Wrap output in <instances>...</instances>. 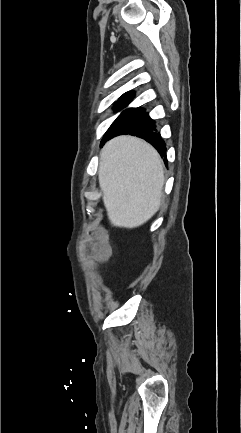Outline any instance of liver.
Listing matches in <instances>:
<instances>
[{
  "label": "liver",
  "instance_id": "6515ba94",
  "mask_svg": "<svg viewBox=\"0 0 241 433\" xmlns=\"http://www.w3.org/2000/svg\"><path fill=\"white\" fill-rule=\"evenodd\" d=\"M98 174L113 226H141L159 210L164 164L158 152L144 140L124 135L107 142L100 153Z\"/></svg>",
  "mask_w": 241,
  "mask_h": 433
}]
</instances>
